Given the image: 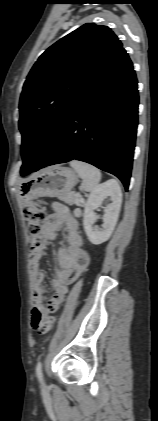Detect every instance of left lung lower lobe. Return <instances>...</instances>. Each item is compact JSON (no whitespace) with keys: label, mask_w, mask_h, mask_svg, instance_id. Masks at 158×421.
Listing matches in <instances>:
<instances>
[{"label":"left lung lower lobe","mask_w":158,"mask_h":421,"mask_svg":"<svg viewBox=\"0 0 158 421\" xmlns=\"http://www.w3.org/2000/svg\"><path fill=\"white\" fill-rule=\"evenodd\" d=\"M138 103L133 65L121 47L69 109L38 165L21 175L77 159L114 174L128 190Z\"/></svg>","instance_id":"obj_1"}]
</instances>
